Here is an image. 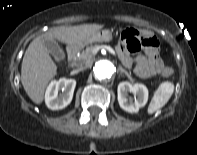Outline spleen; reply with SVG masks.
I'll return each mask as SVG.
<instances>
[{"instance_id": "spleen-1", "label": "spleen", "mask_w": 197, "mask_h": 155, "mask_svg": "<svg viewBox=\"0 0 197 155\" xmlns=\"http://www.w3.org/2000/svg\"><path fill=\"white\" fill-rule=\"evenodd\" d=\"M173 92H174L173 83L169 81L162 82L154 92V95L148 106V110H147L148 114H153L154 112L162 108L169 101Z\"/></svg>"}]
</instances>
